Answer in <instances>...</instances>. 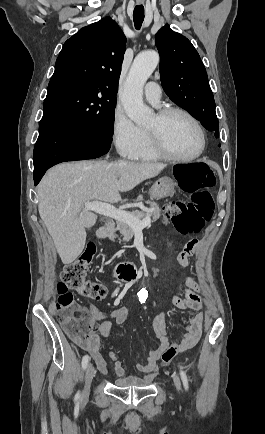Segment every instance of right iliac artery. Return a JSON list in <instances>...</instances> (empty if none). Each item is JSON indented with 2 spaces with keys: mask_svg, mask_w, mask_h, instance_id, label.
I'll return each mask as SVG.
<instances>
[{
  "mask_svg": "<svg viewBox=\"0 0 265 434\" xmlns=\"http://www.w3.org/2000/svg\"><path fill=\"white\" fill-rule=\"evenodd\" d=\"M119 288H117L114 293L112 294V297L117 295ZM90 360V357L88 355H85L82 359V368L86 369L88 362ZM75 400L79 401L80 400V392H77V394L75 395Z\"/></svg>",
  "mask_w": 265,
  "mask_h": 434,
  "instance_id": "82829eb1",
  "label": "right iliac artery"
}]
</instances>
